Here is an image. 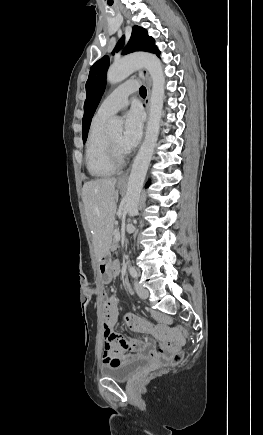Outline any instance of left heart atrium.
Returning <instances> with one entry per match:
<instances>
[{
    "instance_id": "left-heart-atrium-1",
    "label": "left heart atrium",
    "mask_w": 263,
    "mask_h": 435,
    "mask_svg": "<svg viewBox=\"0 0 263 435\" xmlns=\"http://www.w3.org/2000/svg\"><path fill=\"white\" fill-rule=\"evenodd\" d=\"M142 127L141 113L136 109L129 111L125 117V129L121 141L124 151H129L137 146L142 136Z\"/></svg>"
}]
</instances>
